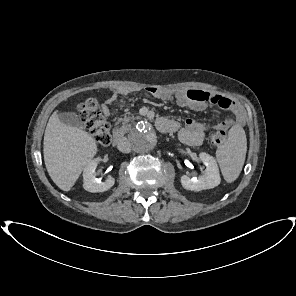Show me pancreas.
<instances>
[{
    "instance_id": "cf45deb5",
    "label": "pancreas",
    "mask_w": 296,
    "mask_h": 296,
    "mask_svg": "<svg viewBox=\"0 0 296 296\" xmlns=\"http://www.w3.org/2000/svg\"><path fill=\"white\" fill-rule=\"evenodd\" d=\"M132 120H133V117L131 116H124L123 118H119L118 122L122 124L119 130L122 133H126L127 131H129L131 128V124L129 122H132Z\"/></svg>"
}]
</instances>
